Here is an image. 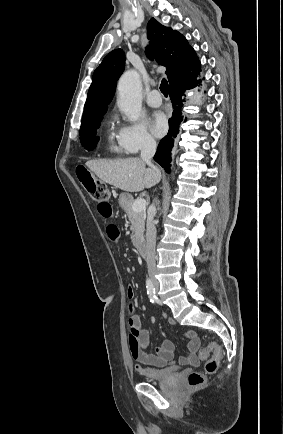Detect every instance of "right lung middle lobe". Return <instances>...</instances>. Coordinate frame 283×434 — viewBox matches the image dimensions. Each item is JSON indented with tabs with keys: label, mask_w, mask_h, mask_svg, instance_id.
Here are the masks:
<instances>
[{
	"label": "right lung middle lobe",
	"mask_w": 283,
	"mask_h": 434,
	"mask_svg": "<svg viewBox=\"0 0 283 434\" xmlns=\"http://www.w3.org/2000/svg\"><path fill=\"white\" fill-rule=\"evenodd\" d=\"M101 120L102 118L93 123L82 125L80 128L81 144L88 151L92 150L99 141V137H97L96 134Z\"/></svg>",
	"instance_id": "dd1d6c3e"
}]
</instances>
